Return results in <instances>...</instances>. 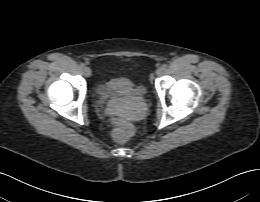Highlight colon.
<instances>
[{
	"instance_id": "5ec220e1",
	"label": "colon",
	"mask_w": 260,
	"mask_h": 202,
	"mask_svg": "<svg viewBox=\"0 0 260 202\" xmlns=\"http://www.w3.org/2000/svg\"><path fill=\"white\" fill-rule=\"evenodd\" d=\"M113 123V139L119 143L126 141L131 135L127 122L121 117H115Z\"/></svg>"
}]
</instances>
